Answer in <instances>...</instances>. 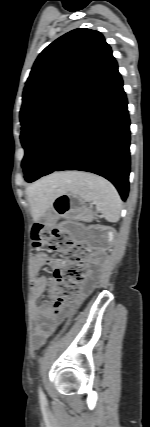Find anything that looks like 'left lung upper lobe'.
I'll use <instances>...</instances> for the list:
<instances>
[{"label": "left lung upper lobe", "instance_id": "5c2ea615", "mask_svg": "<svg viewBox=\"0 0 150 427\" xmlns=\"http://www.w3.org/2000/svg\"><path fill=\"white\" fill-rule=\"evenodd\" d=\"M113 60L103 35L90 29L72 30L40 53L26 82L20 111L23 170L39 133Z\"/></svg>", "mask_w": 150, "mask_h": 427}]
</instances>
